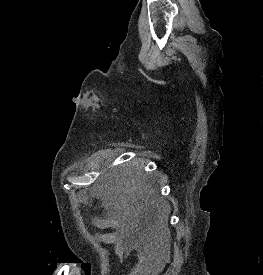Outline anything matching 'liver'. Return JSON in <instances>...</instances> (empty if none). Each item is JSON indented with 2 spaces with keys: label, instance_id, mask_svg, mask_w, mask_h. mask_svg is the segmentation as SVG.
<instances>
[{
  "label": "liver",
  "instance_id": "6515ba94",
  "mask_svg": "<svg viewBox=\"0 0 263 275\" xmlns=\"http://www.w3.org/2000/svg\"><path fill=\"white\" fill-rule=\"evenodd\" d=\"M103 190L98 188V194L102 197V200L105 206H113L112 208L116 211L123 212V219H139L140 207H137L136 204L131 203L129 205L128 201L130 199V189L128 186L120 187L116 190L115 195L113 194H103ZM152 205H155L158 211L161 213L163 218H167L170 212V206L166 202H152ZM136 206V207H135Z\"/></svg>",
  "mask_w": 263,
  "mask_h": 275
}]
</instances>
